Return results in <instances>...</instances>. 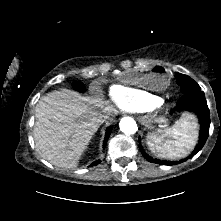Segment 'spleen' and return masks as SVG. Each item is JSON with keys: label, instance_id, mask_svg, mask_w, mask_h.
Listing matches in <instances>:
<instances>
[{"label": "spleen", "instance_id": "obj_1", "mask_svg": "<svg viewBox=\"0 0 221 221\" xmlns=\"http://www.w3.org/2000/svg\"><path fill=\"white\" fill-rule=\"evenodd\" d=\"M198 138V124L194 115L183 113L175 124L165 129V134L147 136V145L152 153L166 159L184 157L194 148Z\"/></svg>", "mask_w": 221, "mask_h": 221}]
</instances>
